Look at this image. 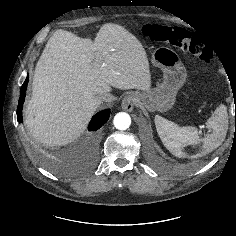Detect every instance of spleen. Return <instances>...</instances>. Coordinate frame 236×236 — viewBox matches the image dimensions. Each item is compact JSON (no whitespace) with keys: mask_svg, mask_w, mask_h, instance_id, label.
<instances>
[{"mask_svg":"<svg viewBox=\"0 0 236 236\" xmlns=\"http://www.w3.org/2000/svg\"><path fill=\"white\" fill-rule=\"evenodd\" d=\"M155 126L162 143L172 154L184 156L181 151L183 148L202 142V152L194 156L201 157L217 149L223 143L228 129L227 109L224 105H220L208 119L207 127L212 129V133L204 138H200L196 127H181L159 115L155 116Z\"/></svg>","mask_w":236,"mask_h":236,"instance_id":"1","label":"spleen"}]
</instances>
